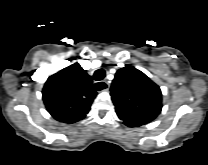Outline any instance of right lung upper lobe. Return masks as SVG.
<instances>
[{"instance_id": "cb5924a9", "label": "right lung upper lobe", "mask_w": 208, "mask_h": 165, "mask_svg": "<svg viewBox=\"0 0 208 165\" xmlns=\"http://www.w3.org/2000/svg\"><path fill=\"white\" fill-rule=\"evenodd\" d=\"M92 79L79 65H70L50 76L43 88L44 104L51 116L72 124L86 117L96 97Z\"/></svg>"}]
</instances>
